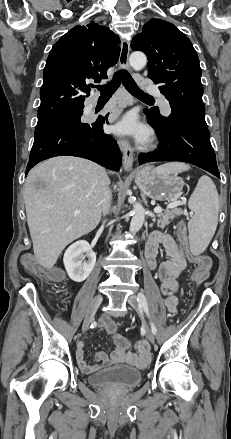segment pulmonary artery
Returning <instances> with one entry per match:
<instances>
[{
	"label": "pulmonary artery",
	"mask_w": 231,
	"mask_h": 439,
	"mask_svg": "<svg viewBox=\"0 0 231 439\" xmlns=\"http://www.w3.org/2000/svg\"><path fill=\"white\" fill-rule=\"evenodd\" d=\"M147 91L149 93L157 95L159 97L163 112L166 115L171 113V108H170L168 101L165 99V97L159 92V90L155 86L148 85Z\"/></svg>",
	"instance_id": "e3ab8cb5"
}]
</instances>
